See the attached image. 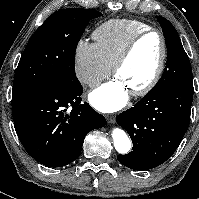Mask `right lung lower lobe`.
Masks as SVG:
<instances>
[{"label":"right lung lower lobe","mask_w":199,"mask_h":199,"mask_svg":"<svg viewBox=\"0 0 199 199\" xmlns=\"http://www.w3.org/2000/svg\"><path fill=\"white\" fill-rule=\"evenodd\" d=\"M81 95L82 86H57L12 106L16 133L31 157L48 167L65 166L78 158L86 134L106 124Z\"/></svg>","instance_id":"98d812e1"}]
</instances>
